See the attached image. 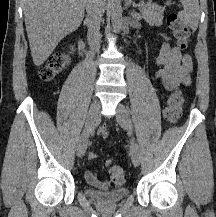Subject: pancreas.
Masks as SVG:
<instances>
[{
    "mask_svg": "<svg viewBox=\"0 0 216 217\" xmlns=\"http://www.w3.org/2000/svg\"><path fill=\"white\" fill-rule=\"evenodd\" d=\"M139 10L143 15L145 21L149 23L151 26H161L163 24V18H164L163 7H160L151 2L149 3L142 2L139 4Z\"/></svg>",
    "mask_w": 216,
    "mask_h": 217,
    "instance_id": "cf45deb5",
    "label": "pancreas"
}]
</instances>
